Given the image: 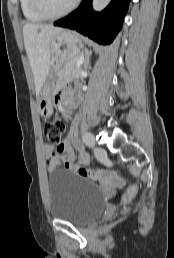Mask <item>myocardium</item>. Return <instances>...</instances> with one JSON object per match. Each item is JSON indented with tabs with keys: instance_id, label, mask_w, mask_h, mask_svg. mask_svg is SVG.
Masks as SVG:
<instances>
[{
	"instance_id": "obj_1",
	"label": "myocardium",
	"mask_w": 174,
	"mask_h": 258,
	"mask_svg": "<svg viewBox=\"0 0 174 258\" xmlns=\"http://www.w3.org/2000/svg\"><path fill=\"white\" fill-rule=\"evenodd\" d=\"M79 0L73 2L64 10L60 12H52L45 4V0H32L34 9L46 19H57L71 13L78 5Z\"/></svg>"
}]
</instances>
